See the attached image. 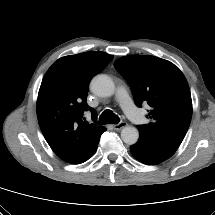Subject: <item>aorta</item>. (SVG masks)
Here are the masks:
<instances>
[{
    "mask_svg": "<svg viewBox=\"0 0 215 215\" xmlns=\"http://www.w3.org/2000/svg\"><path fill=\"white\" fill-rule=\"evenodd\" d=\"M90 89L97 96L110 97L115 92V84L109 76L99 74L92 79ZM121 138L124 143L133 145L138 141L139 131L136 127L125 126L121 131Z\"/></svg>",
    "mask_w": 215,
    "mask_h": 215,
    "instance_id": "obj_1",
    "label": "aorta"
}]
</instances>
